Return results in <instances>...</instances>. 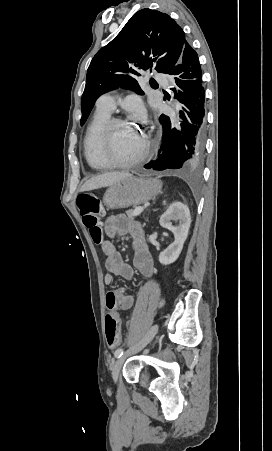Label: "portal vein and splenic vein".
<instances>
[{
  "label": "portal vein and splenic vein",
  "mask_w": 272,
  "mask_h": 451,
  "mask_svg": "<svg viewBox=\"0 0 272 451\" xmlns=\"http://www.w3.org/2000/svg\"><path fill=\"white\" fill-rule=\"evenodd\" d=\"M144 208H136V210H134V216H138V214H141V212H143Z\"/></svg>",
  "instance_id": "1"
}]
</instances>
